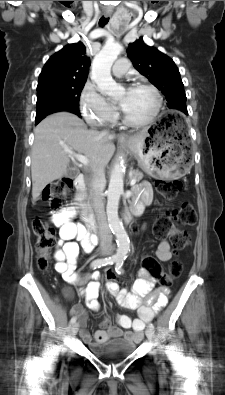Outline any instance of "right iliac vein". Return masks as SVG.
<instances>
[{"mask_svg":"<svg viewBox=\"0 0 225 395\" xmlns=\"http://www.w3.org/2000/svg\"><path fill=\"white\" fill-rule=\"evenodd\" d=\"M79 329V324L78 323H74L71 327V333L72 335H76Z\"/></svg>","mask_w":225,"mask_h":395,"instance_id":"right-iliac-vein-1","label":"right iliac vein"}]
</instances>
